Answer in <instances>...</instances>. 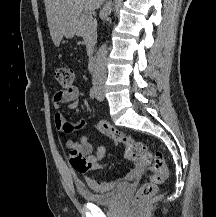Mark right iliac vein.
<instances>
[{
	"instance_id": "63e3f726",
	"label": "right iliac vein",
	"mask_w": 216,
	"mask_h": 217,
	"mask_svg": "<svg viewBox=\"0 0 216 217\" xmlns=\"http://www.w3.org/2000/svg\"><path fill=\"white\" fill-rule=\"evenodd\" d=\"M97 91H98V94L103 95V92H104V91H103V88H98Z\"/></svg>"
}]
</instances>
